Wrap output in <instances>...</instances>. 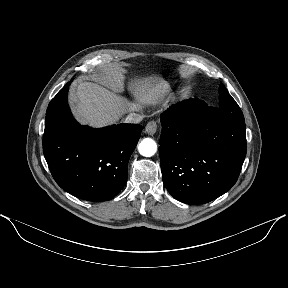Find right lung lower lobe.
<instances>
[{
  "mask_svg": "<svg viewBox=\"0 0 288 288\" xmlns=\"http://www.w3.org/2000/svg\"><path fill=\"white\" fill-rule=\"evenodd\" d=\"M68 82L51 100L45 118L43 152L57 184L88 201L114 198L127 182V165L143 126L102 129L79 125L67 104Z\"/></svg>",
  "mask_w": 288,
  "mask_h": 288,
  "instance_id": "obj_1",
  "label": "right lung lower lobe"
}]
</instances>
